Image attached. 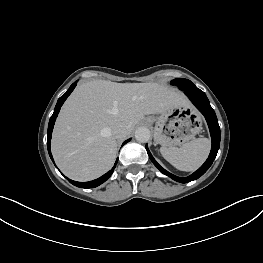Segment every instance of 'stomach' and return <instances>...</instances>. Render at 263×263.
I'll return each mask as SVG.
<instances>
[{
    "instance_id": "stomach-1",
    "label": "stomach",
    "mask_w": 263,
    "mask_h": 263,
    "mask_svg": "<svg viewBox=\"0 0 263 263\" xmlns=\"http://www.w3.org/2000/svg\"><path fill=\"white\" fill-rule=\"evenodd\" d=\"M146 123H155V142L169 148L192 140L202 130L200 115L187 103L171 108L158 117H147Z\"/></svg>"
}]
</instances>
